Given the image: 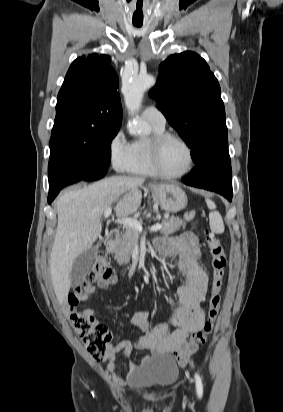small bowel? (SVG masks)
<instances>
[{
    "mask_svg": "<svg viewBox=\"0 0 283 412\" xmlns=\"http://www.w3.org/2000/svg\"><path fill=\"white\" fill-rule=\"evenodd\" d=\"M155 246L161 253L176 256L177 268L184 284L177 290L178 305L171 310L167 321L152 325L149 313L146 310H139L130 318L131 325L144 332L139 340L134 343L122 340L109 345L105 356L108 360L107 371L116 384H123L126 379L114 372L115 361L119 357H128L133 349L150 351L156 357L175 355L180 366L186 365L193 350L177 355L179 347L188 334L200 330L204 323L203 304L208 276L199 262L198 238L192 231H186L178 237L158 238L155 240ZM116 280L117 276L113 274L101 280L98 286L107 290ZM92 290L93 288L90 287L88 292ZM88 311L94 313L92 309ZM149 358L145 356L143 362H147ZM138 368L136 363L130 361L129 376Z\"/></svg>",
    "mask_w": 283,
    "mask_h": 412,
    "instance_id": "c3829d8e",
    "label": "small bowel"
}]
</instances>
